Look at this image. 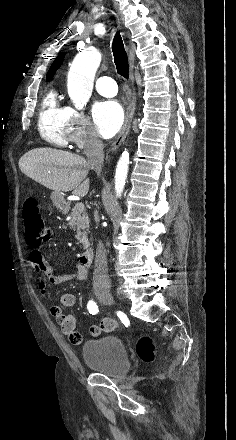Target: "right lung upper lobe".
<instances>
[{
  "mask_svg": "<svg viewBox=\"0 0 236 440\" xmlns=\"http://www.w3.org/2000/svg\"><path fill=\"white\" fill-rule=\"evenodd\" d=\"M64 55L65 53H61L59 54L56 59L54 60V62L52 63L47 76H46V80H50V78L54 75V73L56 72V70L61 66L63 59H64Z\"/></svg>",
  "mask_w": 236,
  "mask_h": 440,
  "instance_id": "right-lung-upper-lobe-1",
  "label": "right lung upper lobe"
}]
</instances>
